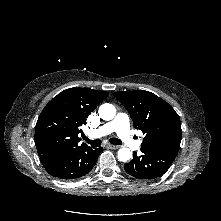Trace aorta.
Returning <instances> with one entry per match:
<instances>
[{"mask_svg":"<svg viewBox=\"0 0 221 221\" xmlns=\"http://www.w3.org/2000/svg\"><path fill=\"white\" fill-rule=\"evenodd\" d=\"M101 119L109 121L116 115V109L112 104L105 103L99 107L98 110ZM132 158V152L128 148H121L118 151V159L122 162H127Z\"/></svg>","mask_w":221,"mask_h":221,"instance_id":"aorta-1","label":"aorta"}]
</instances>
